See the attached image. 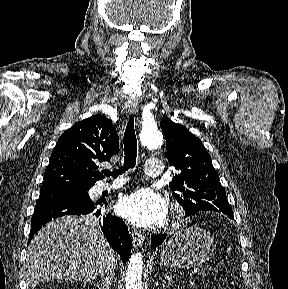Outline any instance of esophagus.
Returning a JSON list of instances; mask_svg holds the SVG:
<instances>
[{
	"mask_svg": "<svg viewBox=\"0 0 288 289\" xmlns=\"http://www.w3.org/2000/svg\"><path fill=\"white\" fill-rule=\"evenodd\" d=\"M137 107L138 106H137L136 102L127 101L125 104L126 114L132 115V114L136 113ZM131 236H132L133 243L136 247H142L143 246L145 238L140 232H138L136 230H132Z\"/></svg>",
	"mask_w": 288,
	"mask_h": 289,
	"instance_id": "1",
	"label": "esophagus"
}]
</instances>
